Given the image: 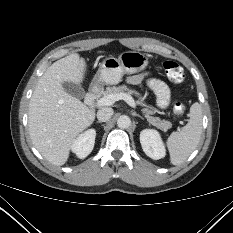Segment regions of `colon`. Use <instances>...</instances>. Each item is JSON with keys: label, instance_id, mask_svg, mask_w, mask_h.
Returning a JSON list of instances; mask_svg holds the SVG:
<instances>
[{"label": "colon", "instance_id": "obj_1", "mask_svg": "<svg viewBox=\"0 0 233 233\" xmlns=\"http://www.w3.org/2000/svg\"><path fill=\"white\" fill-rule=\"evenodd\" d=\"M163 70L170 82L179 85L184 81L183 68L177 62L172 60L164 61ZM173 112L177 117L183 116L186 112L185 104L181 101H176L173 107Z\"/></svg>", "mask_w": 233, "mask_h": 233}]
</instances>
